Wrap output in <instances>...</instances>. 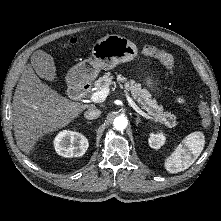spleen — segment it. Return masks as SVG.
<instances>
[{"mask_svg":"<svg viewBox=\"0 0 221 221\" xmlns=\"http://www.w3.org/2000/svg\"><path fill=\"white\" fill-rule=\"evenodd\" d=\"M205 144L203 133L194 132L186 136L165 160V169L169 173H178L188 169L201 154Z\"/></svg>","mask_w":221,"mask_h":221,"instance_id":"obj_1","label":"spleen"}]
</instances>
